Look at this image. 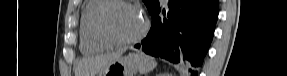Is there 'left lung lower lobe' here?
Returning a JSON list of instances; mask_svg holds the SVG:
<instances>
[{"instance_id": "1", "label": "left lung lower lobe", "mask_w": 287, "mask_h": 76, "mask_svg": "<svg viewBox=\"0 0 287 76\" xmlns=\"http://www.w3.org/2000/svg\"><path fill=\"white\" fill-rule=\"evenodd\" d=\"M218 0H169V10L160 17L159 3L151 10L152 26L135 46L154 57L189 67L197 76L211 44L219 12Z\"/></svg>"}]
</instances>
